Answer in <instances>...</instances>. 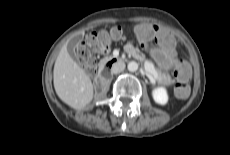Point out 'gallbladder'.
<instances>
[{
    "instance_id": "gallbladder-1",
    "label": "gallbladder",
    "mask_w": 230,
    "mask_h": 155,
    "mask_svg": "<svg viewBox=\"0 0 230 155\" xmlns=\"http://www.w3.org/2000/svg\"><path fill=\"white\" fill-rule=\"evenodd\" d=\"M80 40H81V37L74 38L67 47L69 55L76 61H78V57L75 54V47L78 45Z\"/></svg>"
}]
</instances>
